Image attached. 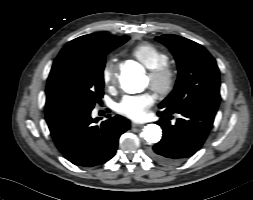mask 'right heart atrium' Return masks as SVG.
<instances>
[{
	"label": "right heart atrium",
	"mask_w": 253,
	"mask_h": 200,
	"mask_svg": "<svg viewBox=\"0 0 253 200\" xmlns=\"http://www.w3.org/2000/svg\"><path fill=\"white\" fill-rule=\"evenodd\" d=\"M117 79V66L114 60H107L102 69V80L105 85L112 86Z\"/></svg>",
	"instance_id": "1"
}]
</instances>
